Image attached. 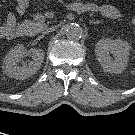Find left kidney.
I'll return each mask as SVG.
<instances>
[{
  "label": "left kidney",
  "instance_id": "5707ae66",
  "mask_svg": "<svg viewBox=\"0 0 135 135\" xmlns=\"http://www.w3.org/2000/svg\"><path fill=\"white\" fill-rule=\"evenodd\" d=\"M129 50V44L121 39H101L95 46L97 60L102 68L115 74L121 73L126 68Z\"/></svg>",
  "mask_w": 135,
  "mask_h": 135
}]
</instances>
